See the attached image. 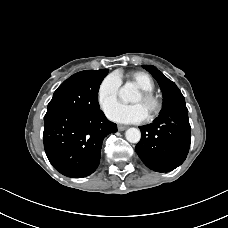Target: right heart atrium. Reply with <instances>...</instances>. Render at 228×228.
<instances>
[{
    "instance_id": "d8ad5b80",
    "label": "right heart atrium",
    "mask_w": 228,
    "mask_h": 228,
    "mask_svg": "<svg viewBox=\"0 0 228 228\" xmlns=\"http://www.w3.org/2000/svg\"><path fill=\"white\" fill-rule=\"evenodd\" d=\"M120 86L121 78L116 73L108 74L100 82L97 89V100L103 110L117 99Z\"/></svg>"
}]
</instances>
